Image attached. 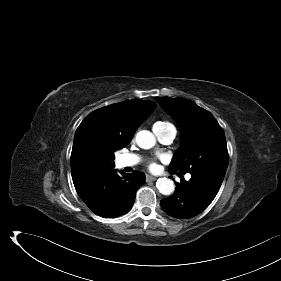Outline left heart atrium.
<instances>
[{
	"instance_id": "left-heart-atrium-1",
	"label": "left heart atrium",
	"mask_w": 281,
	"mask_h": 281,
	"mask_svg": "<svg viewBox=\"0 0 281 281\" xmlns=\"http://www.w3.org/2000/svg\"><path fill=\"white\" fill-rule=\"evenodd\" d=\"M149 168H150L151 170H156V169H157L156 163L151 162V163L149 164Z\"/></svg>"
}]
</instances>
